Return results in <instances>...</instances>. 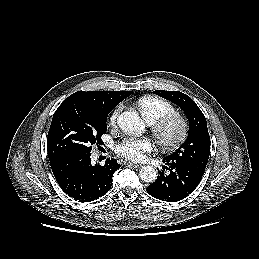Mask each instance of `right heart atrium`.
Returning <instances> with one entry per match:
<instances>
[{
  "instance_id": "d8ad5b80",
  "label": "right heart atrium",
  "mask_w": 259,
  "mask_h": 259,
  "mask_svg": "<svg viewBox=\"0 0 259 259\" xmlns=\"http://www.w3.org/2000/svg\"><path fill=\"white\" fill-rule=\"evenodd\" d=\"M121 109H122V106H118L110 115L109 117V124L111 126H114L117 122V119L120 115V112H121Z\"/></svg>"
}]
</instances>
